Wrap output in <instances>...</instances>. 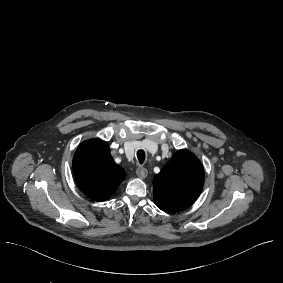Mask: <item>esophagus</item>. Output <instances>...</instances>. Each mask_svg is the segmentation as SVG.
I'll list each match as a JSON object with an SVG mask.
<instances>
[{
  "label": "esophagus",
  "instance_id": "obj_1",
  "mask_svg": "<svg viewBox=\"0 0 283 283\" xmlns=\"http://www.w3.org/2000/svg\"><path fill=\"white\" fill-rule=\"evenodd\" d=\"M136 174L139 178H146V176L148 175V171L144 167H139L136 170Z\"/></svg>",
  "mask_w": 283,
  "mask_h": 283
}]
</instances>
